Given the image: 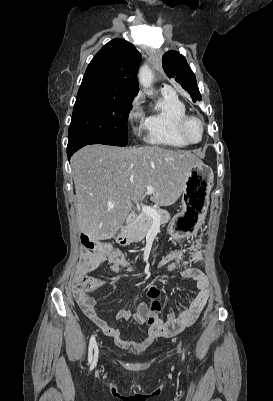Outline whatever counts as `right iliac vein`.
I'll use <instances>...</instances> for the list:
<instances>
[{"mask_svg": "<svg viewBox=\"0 0 273 401\" xmlns=\"http://www.w3.org/2000/svg\"><path fill=\"white\" fill-rule=\"evenodd\" d=\"M95 356L98 358V356H99V350L98 349H96V351H95Z\"/></svg>", "mask_w": 273, "mask_h": 401, "instance_id": "obj_1", "label": "right iliac vein"}]
</instances>
